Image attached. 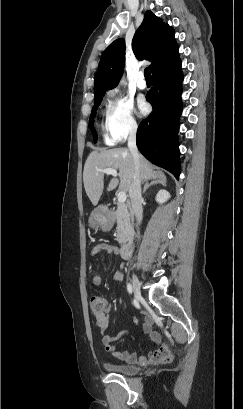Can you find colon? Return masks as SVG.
<instances>
[{
    "instance_id": "colon-1",
    "label": "colon",
    "mask_w": 243,
    "mask_h": 409,
    "mask_svg": "<svg viewBox=\"0 0 243 409\" xmlns=\"http://www.w3.org/2000/svg\"><path fill=\"white\" fill-rule=\"evenodd\" d=\"M90 306L94 312H99L103 309L104 302L101 297H93L90 302Z\"/></svg>"
}]
</instances>
